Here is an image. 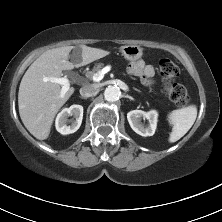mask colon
Masks as SVG:
<instances>
[{
  "mask_svg": "<svg viewBox=\"0 0 222 222\" xmlns=\"http://www.w3.org/2000/svg\"><path fill=\"white\" fill-rule=\"evenodd\" d=\"M159 72L163 79L164 92L172 102L178 106H186L189 102V96L185 87L176 81L179 75V68L169 58H162L159 61Z\"/></svg>",
  "mask_w": 222,
  "mask_h": 222,
  "instance_id": "1",
  "label": "colon"
}]
</instances>
